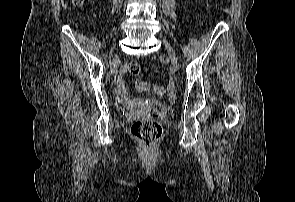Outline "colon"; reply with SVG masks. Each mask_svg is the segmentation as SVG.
<instances>
[{"instance_id":"1","label":"colon","mask_w":295,"mask_h":202,"mask_svg":"<svg viewBox=\"0 0 295 202\" xmlns=\"http://www.w3.org/2000/svg\"><path fill=\"white\" fill-rule=\"evenodd\" d=\"M72 3L81 5L83 0H72ZM128 71L131 75H138L141 71V65L136 61H132L128 64ZM150 87L151 85L146 81L136 83V89L139 91H146ZM153 88L158 95H164L166 92L165 88L160 85H155ZM158 116L159 113L156 108H149L132 126L133 136L145 146L155 144L162 134Z\"/></svg>"}]
</instances>
